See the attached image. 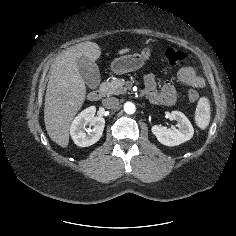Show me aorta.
<instances>
[{
	"label": "aorta",
	"mask_w": 236,
	"mask_h": 236,
	"mask_svg": "<svg viewBox=\"0 0 236 236\" xmlns=\"http://www.w3.org/2000/svg\"><path fill=\"white\" fill-rule=\"evenodd\" d=\"M136 108H135V105L134 103L132 102H126L124 104V111L127 113V114H133L135 112Z\"/></svg>",
	"instance_id": "obj_1"
}]
</instances>
